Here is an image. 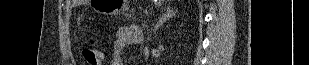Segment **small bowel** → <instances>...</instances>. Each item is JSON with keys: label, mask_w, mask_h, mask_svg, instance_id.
<instances>
[{"label": "small bowel", "mask_w": 309, "mask_h": 65, "mask_svg": "<svg viewBox=\"0 0 309 65\" xmlns=\"http://www.w3.org/2000/svg\"><path fill=\"white\" fill-rule=\"evenodd\" d=\"M141 28L137 25L120 29L116 34L113 54L110 57L109 65H124L122 51L131 45H138L141 38Z\"/></svg>", "instance_id": "1"}]
</instances>
